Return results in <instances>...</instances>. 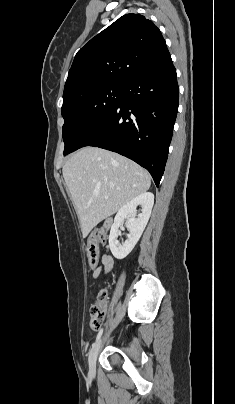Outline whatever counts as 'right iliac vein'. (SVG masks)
<instances>
[{"label": "right iliac vein", "instance_id": "1", "mask_svg": "<svg viewBox=\"0 0 235 404\" xmlns=\"http://www.w3.org/2000/svg\"><path fill=\"white\" fill-rule=\"evenodd\" d=\"M100 344H101V341H98L96 344H94V346L92 347V349L90 350V353H89L88 362H89L90 373L92 375L95 373L96 360H97V355L99 352Z\"/></svg>", "mask_w": 235, "mask_h": 404}]
</instances>
